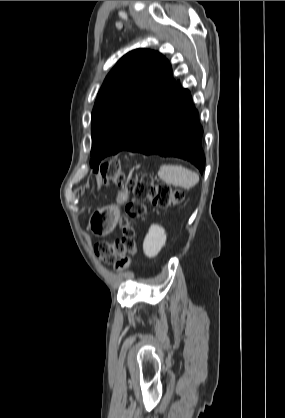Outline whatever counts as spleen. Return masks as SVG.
Returning <instances> with one entry per match:
<instances>
[{
    "instance_id": "obj_1",
    "label": "spleen",
    "mask_w": 285,
    "mask_h": 418,
    "mask_svg": "<svg viewBox=\"0 0 285 418\" xmlns=\"http://www.w3.org/2000/svg\"><path fill=\"white\" fill-rule=\"evenodd\" d=\"M158 176L165 183L178 185L185 189L194 187L199 181V176L195 172L180 165H161Z\"/></svg>"
}]
</instances>
